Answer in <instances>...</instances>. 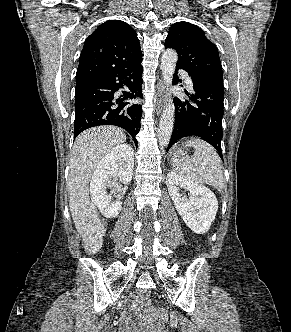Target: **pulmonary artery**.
<instances>
[{
    "label": "pulmonary artery",
    "instance_id": "e3ab8cb5",
    "mask_svg": "<svg viewBox=\"0 0 291 332\" xmlns=\"http://www.w3.org/2000/svg\"><path fill=\"white\" fill-rule=\"evenodd\" d=\"M181 73H182V75H183V77H184V79H185L188 87L191 88L192 87V80H191V78L188 76L187 73H185V72H181Z\"/></svg>",
    "mask_w": 291,
    "mask_h": 332
}]
</instances>
